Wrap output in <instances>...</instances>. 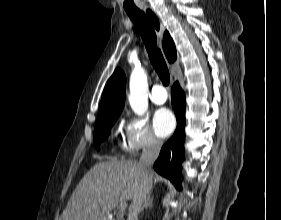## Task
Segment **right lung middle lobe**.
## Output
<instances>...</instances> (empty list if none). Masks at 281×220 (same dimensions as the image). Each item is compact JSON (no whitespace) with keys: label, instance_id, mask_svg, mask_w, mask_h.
<instances>
[{"label":"right lung middle lobe","instance_id":"dd1d6c3e","mask_svg":"<svg viewBox=\"0 0 281 220\" xmlns=\"http://www.w3.org/2000/svg\"><path fill=\"white\" fill-rule=\"evenodd\" d=\"M119 115H113L97 119L94 131V144L98 148L99 144L110 134V128L113 126Z\"/></svg>","mask_w":281,"mask_h":220}]
</instances>
